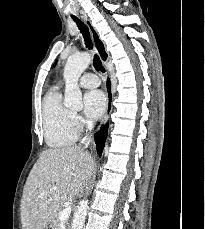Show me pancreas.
I'll return each instance as SVG.
<instances>
[{"label":"pancreas","mask_w":205,"mask_h":229,"mask_svg":"<svg viewBox=\"0 0 205 229\" xmlns=\"http://www.w3.org/2000/svg\"><path fill=\"white\" fill-rule=\"evenodd\" d=\"M63 211V208L60 207L54 214L53 222H52V229H59L60 226V219L59 215Z\"/></svg>","instance_id":"pancreas-1"}]
</instances>
